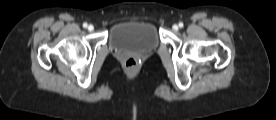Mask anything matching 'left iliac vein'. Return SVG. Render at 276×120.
Returning a JSON list of instances; mask_svg holds the SVG:
<instances>
[{
  "mask_svg": "<svg viewBox=\"0 0 276 120\" xmlns=\"http://www.w3.org/2000/svg\"><path fill=\"white\" fill-rule=\"evenodd\" d=\"M173 30H175V31H177L178 30V26L175 24V25H173Z\"/></svg>",
  "mask_w": 276,
  "mask_h": 120,
  "instance_id": "1",
  "label": "left iliac vein"
}]
</instances>
